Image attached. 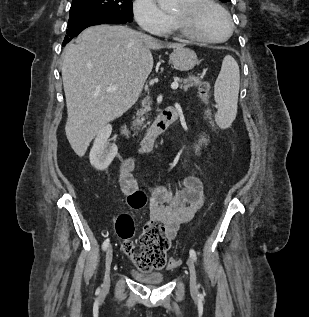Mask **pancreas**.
<instances>
[{
    "mask_svg": "<svg viewBox=\"0 0 309 317\" xmlns=\"http://www.w3.org/2000/svg\"><path fill=\"white\" fill-rule=\"evenodd\" d=\"M201 79L202 77H196L193 75L188 76L187 78L184 79H179L180 82V89L187 91L188 88L193 87V86H197L201 83ZM151 102L150 101H145L142 103V109H140L137 112V117L133 122V126H135L136 128H139L140 126H144V121H145V114L150 111L151 107Z\"/></svg>",
    "mask_w": 309,
    "mask_h": 317,
    "instance_id": "1",
    "label": "pancreas"
}]
</instances>
